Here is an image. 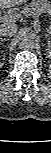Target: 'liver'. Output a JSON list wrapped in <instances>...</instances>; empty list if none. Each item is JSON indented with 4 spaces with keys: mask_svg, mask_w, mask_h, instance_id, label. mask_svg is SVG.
<instances>
[{
    "mask_svg": "<svg viewBox=\"0 0 51 153\" xmlns=\"http://www.w3.org/2000/svg\"><path fill=\"white\" fill-rule=\"evenodd\" d=\"M27 1L28 0H0V7L1 9L12 8L16 5H21ZM1 22H6V21H1Z\"/></svg>",
    "mask_w": 51,
    "mask_h": 153,
    "instance_id": "liver-1",
    "label": "liver"
}]
</instances>
